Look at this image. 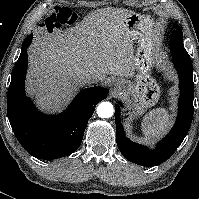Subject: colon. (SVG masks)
Listing matches in <instances>:
<instances>
[{
  "instance_id": "5ec220e1",
  "label": "colon",
  "mask_w": 199,
  "mask_h": 199,
  "mask_svg": "<svg viewBox=\"0 0 199 199\" xmlns=\"http://www.w3.org/2000/svg\"><path fill=\"white\" fill-rule=\"evenodd\" d=\"M75 21L74 13L68 8L55 10L44 22V27L52 32L63 25L72 24Z\"/></svg>"
}]
</instances>
